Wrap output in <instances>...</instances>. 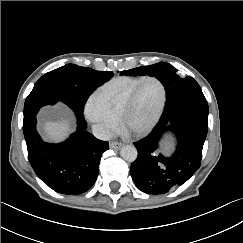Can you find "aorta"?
<instances>
[{"label":"aorta","mask_w":243,"mask_h":243,"mask_svg":"<svg viewBox=\"0 0 243 243\" xmlns=\"http://www.w3.org/2000/svg\"><path fill=\"white\" fill-rule=\"evenodd\" d=\"M121 157L128 161V162H133L136 160L138 156L137 149L133 145H125L122 147L120 151Z\"/></svg>","instance_id":"1"}]
</instances>
